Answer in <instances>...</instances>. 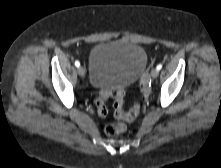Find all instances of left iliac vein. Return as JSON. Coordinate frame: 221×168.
<instances>
[{"label": "left iliac vein", "mask_w": 221, "mask_h": 168, "mask_svg": "<svg viewBox=\"0 0 221 168\" xmlns=\"http://www.w3.org/2000/svg\"><path fill=\"white\" fill-rule=\"evenodd\" d=\"M158 75H159V70H157V69H153L152 71H151V77L152 78H157L158 77Z\"/></svg>", "instance_id": "1"}]
</instances>
